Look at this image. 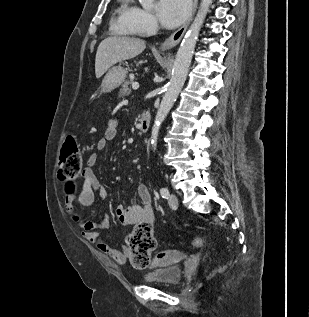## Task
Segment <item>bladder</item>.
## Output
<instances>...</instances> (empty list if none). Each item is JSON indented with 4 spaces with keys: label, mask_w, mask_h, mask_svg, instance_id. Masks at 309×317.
Instances as JSON below:
<instances>
[{
    "label": "bladder",
    "mask_w": 309,
    "mask_h": 317,
    "mask_svg": "<svg viewBox=\"0 0 309 317\" xmlns=\"http://www.w3.org/2000/svg\"><path fill=\"white\" fill-rule=\"evenodd\" d=\"M182 269L178 265H165L146 273L142 280L145 283L175 286L182 279Z\"/></svg>",
    "instance_id": "bladder-1"
}]
</instances>
